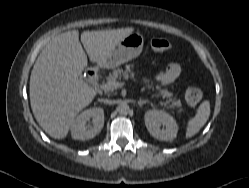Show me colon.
Returning <instances> with one entry per match:
<instances>
[{
    "mask_svg": "<svg viewBox=\"0 0 249 188\" xmlns=\"http://www.w3.org/2000/svg\"><path fill=\"white\" fill-rule=\"evenodd\" d=\"M150 45L153 50L158 52L167 51L171 46L170 42L164 38H154L151 40ZM185 98L188 104L195 106L200 103L202 98V93L197 88L188 87L185 91Z\"/></svg>",
    "mask_w": 249,
    "mask_h": 188,
    "instance_id": "1",
    "label": "colon"
}]
</instances>
